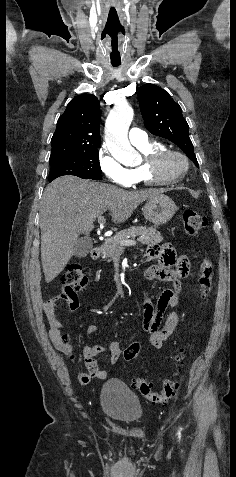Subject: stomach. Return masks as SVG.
<instances>
[{"instance_id":"obj_1","label":"stomach","mask_w":236,"mask_h":477,"mask_svg":"<svg viewBox=\"0 0 236 477\" xmlns=\"http://www.w3.org/2000/svg\"><path fill=\"white\" fill-rule=\"evenodd\" d=\"M144 217L154 225L166 224L175 214L173 200L162 193L149 198L142 208Z\"/></svg>"}]
</instances>
